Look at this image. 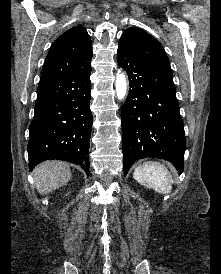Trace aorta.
<instances>
[{
  "instance_id": "762f6f07",
  "label": "aorta",
  "mask_w": 221,
  "mask_h": 274,
  "mask_svg": "<svg viewBox=\"0 0 221 274\" xmlns=\"http://www.w3.org/2000/svg\"><path fill=\"white\" fill-rule=\"evenodd\" d=\"M115 87H116L117 98L119 100L124 99L127 94V80L125 75L121 73L120 71H118L117 73Z\"/></svg>"
}]
</instances>
